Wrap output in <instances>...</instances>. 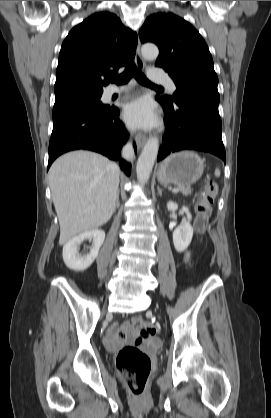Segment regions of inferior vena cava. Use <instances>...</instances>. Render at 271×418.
I'll use <instances>...</instances> for the list:
<instances>
[{"instance_id":"inferior-vena-cava-1","label":"inferior vena cava","mask_w":271,"mask_h":418,"mask_svg":"<svg viewBox=\"0 0 271 418\" xmlns=\"http://www.w3.org/2000/svg\"><path fill=\"white\" fill-rule=\"evenodd\" d=\"M122 157L126 160H131L134 156L132 144L129 142L122 148Z\"/></svg>"}]
</instances>
